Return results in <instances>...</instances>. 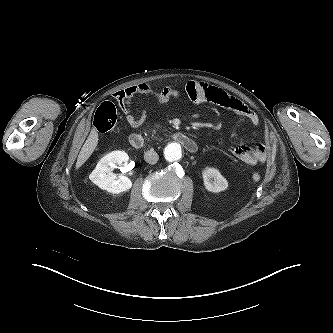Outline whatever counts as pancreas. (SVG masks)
Returning a JSON list of instances; mask_svg holds the SVG:
<instances>
[{
	"label": "pancreas",
	"mask_w": 333,
	"mask_h": 333,
	"mask_svg": "<svg viewBox=\"0 0 333 333\" xmlns=\"http://www.w3.org/2000/svg\"><path fill=\"white\" fill-rule=\"evenodd\" d=\"M155 133H156V131L154 130V131H152V136H154L155 135Z\"/></svg>",
	"instance_id": "1"
}]
</instances>
